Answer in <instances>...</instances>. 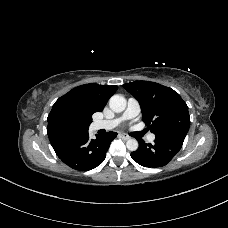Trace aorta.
Masks as SVG:
<instances>
[{
  "mask_svg": "<svg viewBox=\"0 0 228 228\" xmlns=\"http://www.w3.org/2000/svg\"><path fill=\"white\" fill-rule=\"evenodd\" d=\"M127 101L122 95H113L109 100V106L112 111L116 113L123 112L126 108ZM138 141L136 139H129L126 142V147L130 151H136L138 149Z\"/></svg>",
  "mask_w": 228,
  "mask_h": 228,
  "instance_id": "aorta-1",
  "label": "aorta"
}]
</instances>
